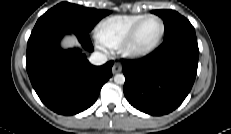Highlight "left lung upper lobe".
Instances as JSON below:
<instances>
[{
	"mask_svg": "<svg viewBox=\"0 0 231 134\" xmlns=\"http://www.w3.org/2000/svg\"><path fill=\"white\" fill-rule=\"evenodd\" d=\"M152 13L160 16L164 20V40L177 34L195 32L189 20L174 10H153Z\"/></svg>",
	"mask_w": 231,
	"mask_h": 134,
	"instance_id": "1",
	"label": "left lung upper lobe"
}]
</instances>
